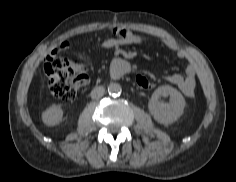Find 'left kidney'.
Here are the masks:
<instances>
[{
  "label": "left kidney",
  "mask_w": 236,
  "mask_h": 182,
  "mask_svg": "<svg viewBox=\"0 0 236 182\" xmlns=\"http://www.w3.org/2000/svg\"><path fill=\"white\" fill-rule=\"evenodd\" d=\"M170 97L168 103L161 100V97ZM186 105L183 95L171 86L158 87L149 101L148 108L153 118L160 124H171L177 121L184 112Z\"/></svg>",
  "instance_id": "left-kidney-1"
}]
</instances>
